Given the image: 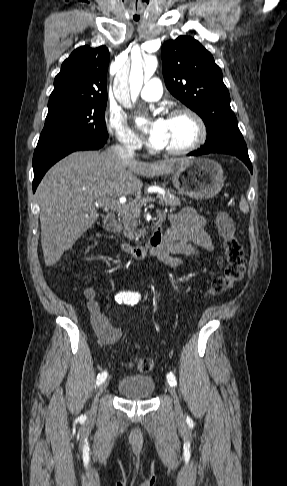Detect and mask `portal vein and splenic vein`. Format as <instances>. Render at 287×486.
Masks as SVG:
<instances>
[{
    "instance_id": "1",
    "label": "portal vein and splenic vein",
    "mask_w": 287,
    "mask_h": 486,
    "mask_svg": "<svg viewBox=\"0 0 287 486\" xmlns=\"http://www.w3.org/2000/svg\"><path fill=\"white\" fill-rule=\"evenodd\" d=\"M125 201H126L125 198H120L119 201H116L114 199H111L110 197L105 196L99 199L98 201H96V203L101 206H105L106 208L119 211L125 205ZM154 201L155 198H146L141 201V205L146 204L148 202H154Z\"/></svg>"
}]
</instances>
